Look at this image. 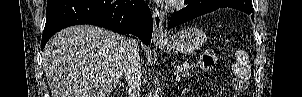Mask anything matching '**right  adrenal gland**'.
Segmentation results:
<instances>
[{"mask_svg": "<svg viewBox=\"0 0 302 97\" xmlns=\"http://www.w3.org/2000/svg\"><path fill=\"white\" fill-rule=\"evenodd\" d=\"M120 86L124 87V83H122V84L120 83Z\"/></svg>", "mask_w": 302, "mask_h": 97, "instance_id": "2a0ac1e0", "label": "right adrenal gland"}]
</instances>
